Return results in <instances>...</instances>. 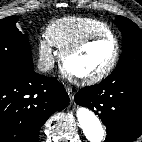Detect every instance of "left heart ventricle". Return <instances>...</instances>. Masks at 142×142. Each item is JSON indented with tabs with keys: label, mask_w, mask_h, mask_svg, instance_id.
<instances>
[{
	"label": "left heart ventricle",
	"mask_w": 142,
	"mask_h": 142,
	"mask_svg": "<svg viewBox=\"0 0 142 142\" xmlns=\"http://www.w3.org/2000/svg\"><path fill=\"white\" fill-rule=\"evenodd\" d=\"M115 44L110 39L98 40L66 60V68L77 76H90L103 70L112 60Z\"/></svg>",
	"instance_id": "b2bd125f"
}]
</instances>
